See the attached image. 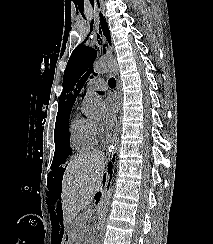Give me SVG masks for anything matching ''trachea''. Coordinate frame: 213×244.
<instances>
[{
	"mask_svg": "<svg viewBox=\"0 0 213 244\" xmlns=\"http://www.w3.org/2000/svg\"><path fill=\"white\" fill-rule=\"evenodd\" d=\"M110 87L114 88L116 86V81L114 78H110L108 81Z\"/></svg>",
	"mask_w": 213,
	"mask_h": 244,
	"instance_id": "1",
	"label": "trachea"
}]
</instances>
